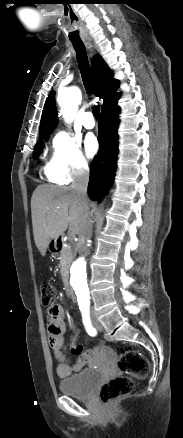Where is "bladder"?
Here are the masks:
<instances>
[{
	"mask_svg": "<svg viewBox=\"0 0 183 438\" xmlns=\"http://www.w3.org/2000/svg\"><path fill=\"white\" fill-rule=\"evenodd\" d=\"M100 381V374L95 370L86 369L76 375L62 379L59 389L64 395L86 399L89 398Z\"/></svg>",
	"mask_w": 183,
	"mask_h": 438,
	"instance_id": "31cf9c89",
	"label": "bladder"
}]
</instances>
